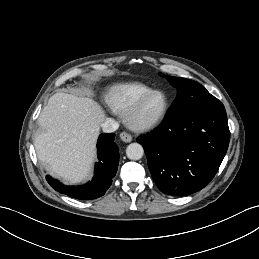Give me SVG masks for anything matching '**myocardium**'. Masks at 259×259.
Here are the masks:
<instances>
[{
  "label": "myocardium",
  "mask_w": 259,
  "mask_h": 259,
  "mask_svg": "<svg viewBox=\"0 0 259 259\" xmlns=\"http://www.w3.org/2000/svg\"><path fill=\"white\" fill-rule=\"evenodd\" d=\"M156 93H161L165 97V107L162 113L155 119L151 121H140L138 119L139 112L143 107L144 103ZM170 109V99L167 93L161 89H152L146 94H144L141 98H139L125 113L124 115V122L128 128L135 132H146L152 130L159 126L164 119L166 118Z\"/></svg>",
  "instance_id": "1"
}]
</instances>
